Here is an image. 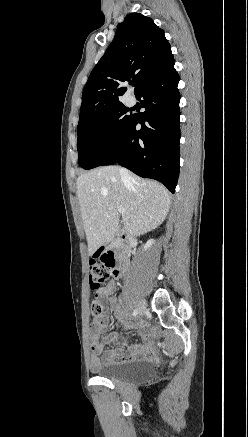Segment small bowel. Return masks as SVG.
Here are the masks:
<instances>
[{
  "label": "small bowel",
  "mask_w": 248,
  "mask_h": 437,
  "mask_svg": "<svg viewBox=\"0 0 248 437\" xmlns=\"http://www.w3.org/2000/svg\"><path fill=\"white\" fill-rule=\"evenodd\" d=\"M116 292V284L110 281L106 285H102L100 289L96 291V298L105 304L107 308L119 309L118 298L114 296ZM109 316L102 315L91 325L90 336H91V359L90 367L92 370H98L102 362L104 363H123L128 361H133L137 359L149 358L153 355V347L150 343V334L147 330V325L144 322L138 324L141 335L144 339V344H132L129 345L125 342L123 344L126 347L127 354L123 353V350L119 347L111 348L103 353L102 358L99 355L103 352V343L100 340V334L103 330L107 328ZM106 342L111 341H122L120 335L116 333L109 334L105 338Z\"/></svg>",
  "instance_id": "1"
}]
</instances>
